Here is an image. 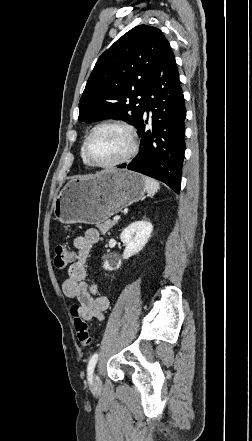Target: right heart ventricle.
Wrapping results in <instances>:
<instances>
[{"label":"right heart ventricle","instance_id":"e07e8e85","mask_svg":"<svg viewBox=\"0 0 252 441\" xmlns=\"http://www.w3.org/2000/svg\"><path fill=\"white\" fill-rule=\"evenodd\" d=\"M80 156H81V159H82L83 164H84L85 166H90V165L87 163V161L85 160L84 156H83L82 146H81V149H80Z\"/></svg>","mask_w":252,"mask_h":441}]
</instances>
